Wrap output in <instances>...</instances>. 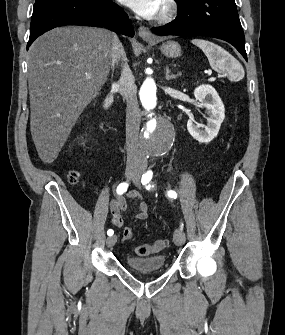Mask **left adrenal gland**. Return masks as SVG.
<instances>
[{
	"instance_id": "a2214340",
	"label": "left adrenal gland",
	"mask_w": 285,
	"mask_h": 335,
	"mask_svg": "<svg viewBox=\"0 0 285 335\" xmlns=\"http://www.w3.org/2000/svg\"><path fill=\"white\" fill-rule=\"evenodd\" d=\"M170 72L171 70H169L168 66L166 68V80H175V78H179V76H181V72H178V74H171L170 76Z\"/></svg>"
}]
</instances>
